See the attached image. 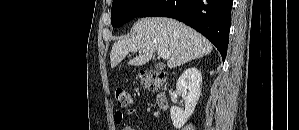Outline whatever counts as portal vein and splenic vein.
<instances>
[{
    "label": "portal vein and splenic vein",
    "instance_id": "portal-vein-and-splenic-vein-1",
    "mask_svg": "<svg viewBox=\"0 0 299 130\" xmlns=\"http://www.w3.org/2000/svg\"><path fill=\"white\" fill-rule=\"evenodd\" d=\"M157 53H158V56L159 57H161L162 59H169L170 58V56H171V53L167 50V49H159L158 51H157Z\"/></svg>",
    "mask_w": 299,
    "mask_h": 130
}]
</instances>
